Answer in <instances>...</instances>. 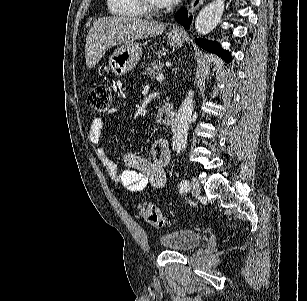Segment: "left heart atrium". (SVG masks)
<instances>
[{"instance_id": "1", "label": "left heart atrium", "mask_w": 307, "mask_h": 301, "mask_svg": "<svg viewBox=\"0 0 307 301\" xmlns=\"http://www.w3.org/2000/svg\"><path fill=\"white\" fill-rule=\"evenodd\" d=\"M178 0H160L161 4H176Z\"/></svg>"}]
</instances>
